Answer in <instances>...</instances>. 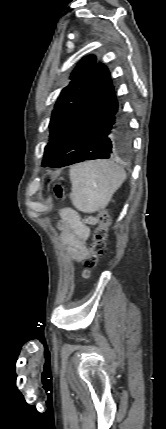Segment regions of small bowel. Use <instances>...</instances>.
Returning a JSON list of instances; mask_svg holds the SVG:
<instances>
[{
    "mask_svg": "<svg viewBox=\"0 0 166 429\" xmlns=\"http://www.w3.org/2000/svg\"><path fill=\"white\" fill-rule=\"evenodd\" d=\"M59 228L61 239L67 245L71 259L83 261L88 254L87 240L90 235V224H96L97 218L89 216L86 219L71 208H64L60 212Z\"/></svg>",
    "mask_w": 166,
    "mask_h": 429,
    "instance_id": "1",
    "label": "small bowel"
}]
</instances>
